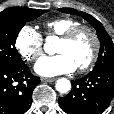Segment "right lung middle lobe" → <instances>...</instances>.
Wrapping results in <instances>:
<instances>
[{
	"mask_svg": "<svg viewBox=\"0 0 114 114\" xmlns=\"http://www.w3.org/2000/svg\"><path fill=\"white\" fill-rule=\"evenodd\" d=\"M44 12L46 11L28 8L5 9L0 12V68L16 67L24 63L15 48L16 38L26 22L41 16Z\"/></svg>",
	"mask_w": 114,
	"mask_h": 114,
	"instance_id": "right-lung-middle-lobe-1",
	"label": "right lung middle lobe"
}]
</instances>
